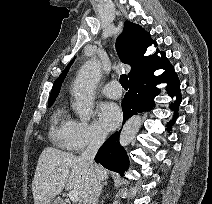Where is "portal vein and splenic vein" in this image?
<instances>
[{
	"label": "portal vein and splenic vein",
	"instance_id": "portal-vein-and-splenic-vein-1",
	"mask_svg": "<svg viewBox=\"0 0 212 204\" xmlns=\"http://www.w3.org/2000/svg\"><path fill=\"white\" fill-rule=\"evenodd\" d=\"M57 171H58V172H61V169H58ZM68 195H69L70 200H71L73 203L78 202L79 199H80L79 192L76 191V190H71V191L69 192Z\"/></svg>",
	"mask_w": 212,
	"mask_h": 204
}]
</instances>
